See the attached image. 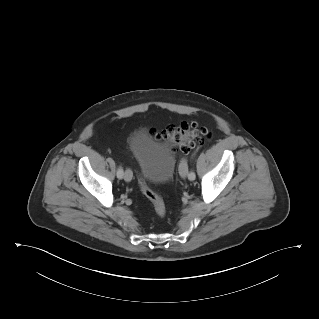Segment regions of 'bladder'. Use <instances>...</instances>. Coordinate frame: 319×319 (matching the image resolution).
Masks as SVG:
<instances>
[{
    "mask_svg": "<svg viewBox=\"0 0 319 319\" xmlns=\"http://www.w3.org/2000/svg\"><path fill=\"white\" fill-rule=\"evenodd\" d=\"M128 145L144 180L161 185L172 177L175 159L170 144L154 141L138 129L130 133Z\"/></svg>",
    "mask_w": 319,
    "mask_h": 319,
    "instance_id": "1",
    "label": "bladder"
}]
</instances>
